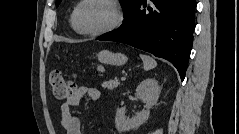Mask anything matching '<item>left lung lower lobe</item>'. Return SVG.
<instances>
[{"instance_id": "obj_1", "label": "left lung lower lobe", "mask_w": 239, "mask_h": 134, "mask_svg": "<svg viewBox=\"0 0 239 134\" xmlns=\"http://www.w3.org/2000/svg\"><path fill=\"white\" fill-rule=\"evenodd\" d=\"M195 7V0H135L122 26L97 39L126 43L164 58L183 80L192 49Z\"/></svg>"}]
</instances>
